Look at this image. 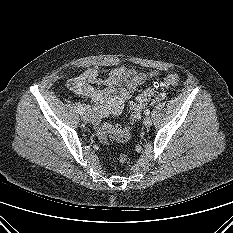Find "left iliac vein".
Returning a JSON list of instances; mask_svg holds the SVG:
<instances>
[{
	"label": "left iliac vein",
	"mask_w": 233,
	"mask_h": 233,
	"mask_svg": "<svg viewBox=\"0 0 233 233\" xmlns=\"http://www.w3.org/2000/svg\"><path fill=\"white\" fill-rule=\"evenodd\" d=\"M143 124L145 127H150L152 125V120L150 117H145L143 120Z\"/></svg>",
	"instance_id": "1"
}]
</instances>
